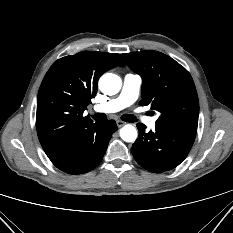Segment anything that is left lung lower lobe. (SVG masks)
<instances>
[{"instance_id":"1","label":"left lung lower lobe","mask_w":233,"mask_h":233,"mask_svg":"<svg viewBox=\"0 0 233 233\" xmlns=\"http://www.w3.org/2000/svg\"><path fill=\"white\" fill-rule=\"evenodd\" d=\"M139 136L131 151L139 165L148 171L162 173L178 166L188 155L196 131L155 126L154 131H145L146 126L137 124Z\"/></svg>"}]
</instances>
